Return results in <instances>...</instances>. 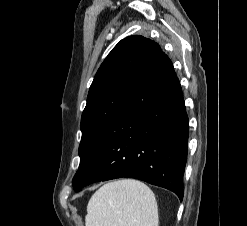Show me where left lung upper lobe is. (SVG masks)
Wrapping results in <instances>:
<instances>
[{
    "label": "left lung upper lobe",
    "mask_w": 247,
    "mask_h": 226,
    "mask_svg": "<svg viewBox=\"0 0 247 226\" xmlns=\"http://www.w3.org/2000/svg\"><path fill=\"white\" fill-rule=\"evenodd\" d=\"M161 52L154 41L143 36H130L122 39L101 64L81 117L80 166L73 178L74 187L80 182L78 173L92 149Z\"/></svg>",
    "instance_id": "1"
}]
</instances>
